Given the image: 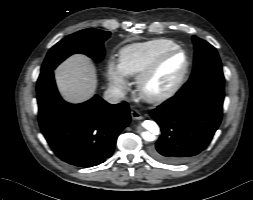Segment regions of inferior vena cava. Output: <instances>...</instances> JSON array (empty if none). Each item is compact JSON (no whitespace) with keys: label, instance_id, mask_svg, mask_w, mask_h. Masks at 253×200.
Wrapping results in <instances>:
<instances>
[{"label":"inferior vena cava","instance_id":"1","mask_svg":"<svg viewBox=\"0 0 253 200\" xmlns=\"http://www.w3.org/2000/svg\"><path fill=\"white\" fill-rule=\"evenodd\" d=\"M125 97V94L117 87H109L104 92V99L110 104L120 103Z\"/></svg>","mask_w":253,"mask_h":200}]
</instances>
